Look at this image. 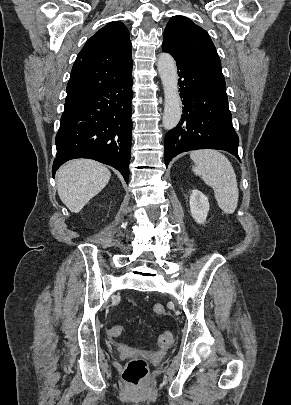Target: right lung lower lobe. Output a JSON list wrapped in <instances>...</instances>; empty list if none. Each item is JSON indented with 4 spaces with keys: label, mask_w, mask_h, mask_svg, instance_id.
Segmentation results:
<instances>
[{
    "label": "right lung lower lobe",
    "mask_w": 291,
    "mask_h": 405,
    "mask_svg": "<svg viewBox=\"0 0 291 405\" xmlns=\"http://www.w3.org/2000/svg\"><path fill=\"white\" fill-rule=\"evenodd\" d=\"M132 97L130 74L65 106L55 138L53 176L70 159L90 158L118 169L128 183Z\"/></svg>",
    "instance_id": "1"
}]
</instances>
